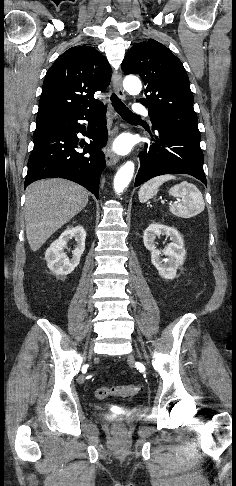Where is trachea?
<instances>
[{
    "label": "trachea",
    "mask_w": 236,
    "mask_h": 486,
    "mask_svg": "<svg viewBox=\"0 0 236 486\" xmlns=\"http://www.w3.org/2000/svg\"><path fill=\"white\" fill-rule=\"evenodd\" d=\"M112 105L115 111L125 120H139L141 119L140 116L134 114L130 111L124 103L115 95H111Z\"/></svg>",
    "instance_id": "obj_1"
}]
</instances>
